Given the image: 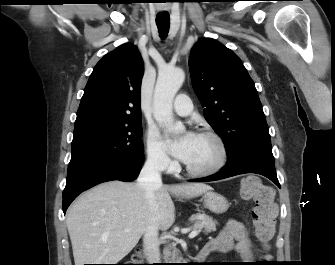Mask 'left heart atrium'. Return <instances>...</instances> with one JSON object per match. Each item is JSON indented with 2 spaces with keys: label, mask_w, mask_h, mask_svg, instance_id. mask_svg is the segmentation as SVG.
<instances>
[{
  "label": "left heart atrium",
  "mask_w": 335,
  "mask_h": 265,
  "mask_svg": "<svg viewBox=\"0 0 335 265\" xmlns=\"http://www.w3.org/2000/svg\"><path fill=\"white\" fill-rule=\"evenodd\" d=\"M196 137V134L188 132L180 140L169 141V148L171 153L178 159L186 162L189 158Z\"/></svg>",
  "instance_id": "39dd6f15"
}]
</instances>
